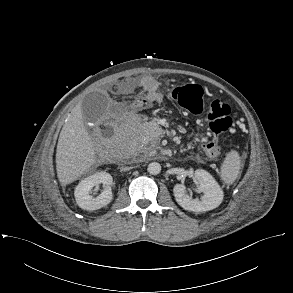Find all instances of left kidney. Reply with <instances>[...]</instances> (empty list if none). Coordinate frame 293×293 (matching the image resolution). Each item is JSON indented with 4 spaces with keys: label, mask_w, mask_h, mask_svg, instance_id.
<instances>
[{
    "label": "left kidney",
    "mask_w": 293,
    "mask_h": 293,
    "mask_svg": "<svg viewBox=\"0 0 293 293\" xmlns=\"http://www.w3.org/2000/svg\"><path fill=\"white\" fill-rule=\"evenodd\" d=\"M194 179L198 182V189L203 193L202 199H192L186 194V187L176 184L173 188L177 203L188 211L205 212L217 208L223 200V190L214 177L203 169H197Z\"/></svg>",
    "instance_id": "left-kidney-1"
}]
</instances>
